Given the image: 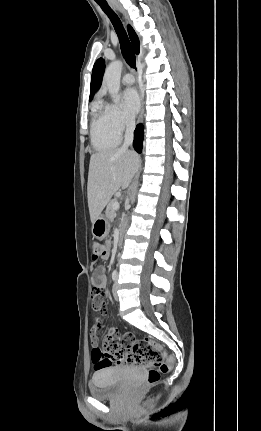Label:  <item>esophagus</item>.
<instances>
[{"label":"esophagus","instance_id":"1","mask_svg":"<svg viewBox=\"0 0 261 431\" xmlns=\"http://www.w3.org/2000/svg\"><path fill=\"white\" fill-rule=\"evenodd\" d=\"M145 115L144 91L140 89V113L138 115V123L143 121Z\"/></svg>","mask_w":261,"mask_h":431}]
</instances>
